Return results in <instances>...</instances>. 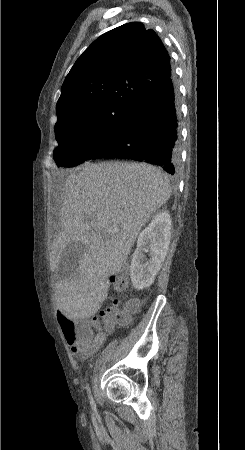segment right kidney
<instances>
[{
	"label": "right kidney",
	"mask_w": 245,
	"mask_h": 450,
	"mask_svg": "<svg viewBox=\"0 0 245 450\" xmlns=\"http://www.w3.org/2000/svg\"><path fill=\"white\" fill-rule=\"evenodd\" d=\"M170 230L171 218L164 211L155 215L140 233L130 266L131 281L135 289L148 288L154 282L169 249ZM144 252H149V259Z\"/></svg>",
	"instance_id": "right-kidney-1"
}]
</instances>
